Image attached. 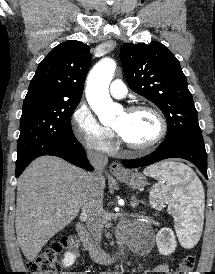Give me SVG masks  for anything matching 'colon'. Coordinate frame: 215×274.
<instances>
[{
    "instance_id": "colon-1",
    "label": "colon",
    "mask_w": 215,
    "mask_h": 274,
    "mask_svg": "<svg viewBox=\"0 0 215 274\" xmlns=\"http://www.w3.org/2000/svg\"><path fill=\"white\" fill-rule=\"evenodd\" d=\"M77 245L75 237H65L47 249L35 261L28 264L32 274H59L62 268V255L67 250H73ZM195 266L193 255L184 256L174 274H191ZM61 274V273H60Z\"/></svg>"
}]
</instances>
